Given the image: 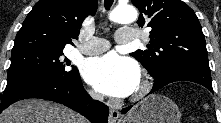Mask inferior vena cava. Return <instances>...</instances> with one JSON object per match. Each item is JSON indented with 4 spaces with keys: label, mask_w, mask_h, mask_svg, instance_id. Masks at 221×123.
Listing matches in <instances>:
<instances>
[{
    "label": "inferior vena cava",
    "mask_w": 221,
    "mask_h": 123,
    "mask_svg": "<svg viewBox=\"0 0 221 123\" xmlns=\"http://www.w3.org/2000/svg\"><path fill=\"white\" fill-rule=\"evenodd\" d=\"M91 95L94 99L103 100V97L101 95H97V94H91Z\"/></svg>",
    "instance_id": "1"
}]
</instances>
